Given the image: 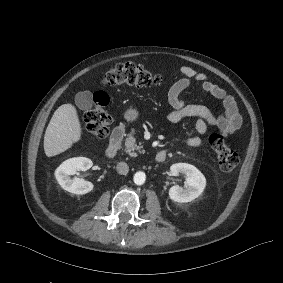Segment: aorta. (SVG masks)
<instances>
[{
	"mask_svg": "<svg viewBox=\"0 0 283 283\" xmlns=\"http://www.w3.org/2000/svg\"><path fill=\"white\" fill-rule=\"evenodd\" d=\"M145 180H146V175H145L144 172L139 171V172H136V173L134 174L133 181H134V183H135L136 185H142V184H144Z\"/></svg>",
	"mask_w": 283,
	"mask_h": 283,
	"instance_id": "762f6f07",
	"label": "aorta"
}]
</instances>
